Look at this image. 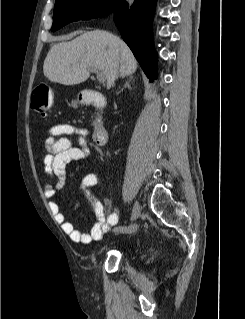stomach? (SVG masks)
I'll list each match as a JSON object with an SVG mask.
<instances>
[{"label":"stomach","instance_id":"0dacf381","mask_svg":"<svg viewBox=\"0 0 245 319\" xmlns=\"http://www.w3.org/2000/svg\"><path fill=\"white\" fill-rule=\"evenodd\" d=\"M78 103H79V101H77V100L72 101V106H73V107H77Z\"/></svg>","mask_w":245,"mask_h":319}]
</instances>
